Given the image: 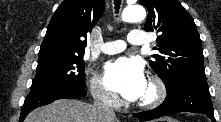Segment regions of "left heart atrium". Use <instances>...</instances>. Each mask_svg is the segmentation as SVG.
Returning <instances> with one entry per match:
<instances>
[{
    "label": "left heart atrium",
    "mask_w": 221,
    "mask_h": 122,
    "mask_svg": "<svg viewBox=\"0 0 221 122\" xmlns=\"http://www.w3.org/2000/svg\"><path fill=\"white\" fill-rule=\"evenodd\" d=\"M104 83L108 89L129 101L140 99L147 88L142 63L128 57H120L106 63Z\"/></svg>",
    "instance_id": "1"
}]
</instances>
